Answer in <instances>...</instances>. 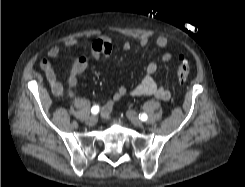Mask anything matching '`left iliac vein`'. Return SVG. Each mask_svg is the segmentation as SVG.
Masks as SVG:
<instances>
[{
	"label": "left iliac vein",
	"mask_w": 245,
	"mask_h": 187,
	"mask_svg": "<svg viewBox=\"0 0 245 187\" xmlns=\"http://www.w3.org/2000/svg\"><path fill=\"white\" fill-rule=\"evenodd\" d=\"M126 115L128 117V119L133 123V125H135L136 127H142L143 123L142 121L138 118V115L135 111L133 110H128L126 112Z\"/></svg>",
	"instance_id": "1"
}]
</instances>
